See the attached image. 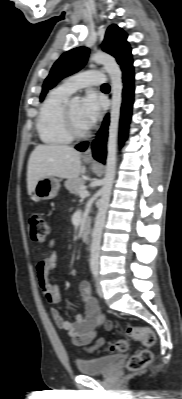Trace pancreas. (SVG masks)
Wrapping results in <instances>:
<instances>
[{
    "mask_svg": "<svg viewBox=\"0 0 182 399\" xmlns=\"http://www.w3.org/2000/svg\"><path fill=\"white\" fill-rule=\"evenodd\" d=\"M85 180L82 178L69 179L65 181V187L71 193L80 195V192L84 189Z\"/></svg>",
    "mask_w": 182,
    "mask_h": 399,
    "instance_id": "obj_1",
    "label": "pancreas"
}]
</instances>
